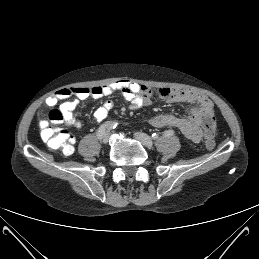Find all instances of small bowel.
I'll use <instances>...</instances> for the list:
<instances>
[{
    "label": "small bowel",
    "instance_id": "c3829d8e",
    "mask_svg": "<svg viewBox=\"0 0 259 259\" xmlns=\"http://www.w3.org/2000/svg\"><path fill=\"white\" fill-rule=\"evenodd\" d=\"M116 92L121 93L129 101V108L132 110L151 104L154 96H158L169 103H195L196 106L190 110L188 116L163 113L150 119L152 126L157 128L166 126L177 128L185 137L195 143L200 142L205 136V131H203L204 119L212 117L214 114L212 101L199 92L169 87L152 88L124 79L91 88H62L51 94L45 103L47 106H55L64 100L60 105V110L64 114L66 124L80 128L81 123L76 115V108L79 102L88 98L97 100L102 97L111 96ZM113 108L114 101L107 99L101 106L94 110V120L98 123L102 122ZM42 139L45 141L43 137Z\"/></svg>",
    "mask_w": 259,
    "mask_h": 259
}]
</instances>
